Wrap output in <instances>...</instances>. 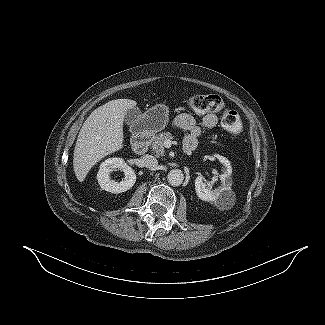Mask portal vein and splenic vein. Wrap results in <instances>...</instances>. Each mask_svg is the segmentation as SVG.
Masks as SVG:
<instances>
[{
	"instance_id": "18ae733b",
	"label": "portal vein and splenic vein",
	"mask_w": 325,
	"mask_h": 325,
	"mask_svg": "<svg viewBox=\"0 0 325 325\" xmlns=\"http://www.w3.org/2000/svg\"><path fill=\"white\" fill-rule=\"evenodd\" d=\"M172 142L168 139L164 142V146L169 148L171 146Z\"/></svg>"
}]
</instances>
